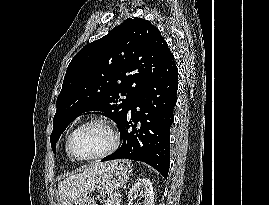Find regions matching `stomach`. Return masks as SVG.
Wrapping results in <instances>:
<instances>
[{
	"label": "stomach",
	"instance_id": "0dacf381",
	"mask_svg": "<svg viewBox=\"0 0 269 205\" xmlns=\"http://www.w3.org/2000/svg\"><path fill=\"white\" fill-rule=\"evenodd\" d=\"M132 167L133 165L129 160L109 162L97 186L98 194L101 197H112L115 191L130 179ZM70 205H96V202L90 196H83L74 200Z\"/></svg>",
	"mask_w": 269,
	"mask_h": 205
}]
</instances>
